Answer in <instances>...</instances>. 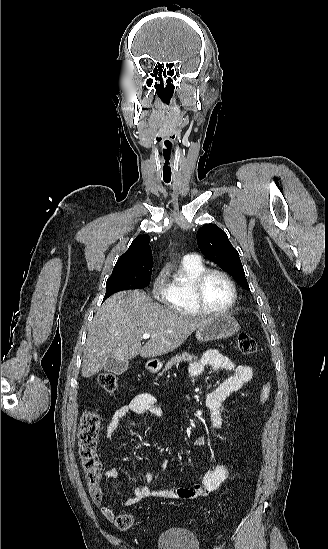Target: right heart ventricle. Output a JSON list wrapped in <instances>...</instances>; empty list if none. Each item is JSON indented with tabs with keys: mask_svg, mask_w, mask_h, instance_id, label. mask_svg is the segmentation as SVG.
<instances>
[{
	"mask_svg": "<svg viewBox=\"0 0 328 549\" xmlns=\"http://www.w3.org/2000/svg\"><path fill=\"white\" fill-rule=\"evenodd\" d=\"M207 262L199 255L191 254L182 258L177 272L166 283L160 303H171V310H180V319H203L190 308L193 304L191 284L193 278L205 267Z\"/></svg>",
	"mask_w": 328,
	"mask_h": 549,
	"instance_id": "obj_1",
	"label": "right heart ventricle"
}]
</instances>
